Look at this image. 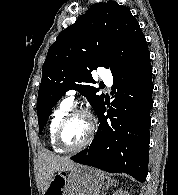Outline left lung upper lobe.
Returning <instances> with one entry per match:
<instances>
[{
	"mask_svg": "<svg viewBox=\"0 0 178 195\" xmlns=\"http://www.w3.org/2000/svg\"><path fill=\"white\" fill-rule=\"evenodd\" d=\"M147 51L145 36L129 8L114 1L92 5L48 50L37 100L39 132L50 110L70 89L81 91L97 114L104 95H96L98 89L90 85L95 83L91 70L103 66L114 77Z\"/></svg>",
	"mask_w": 178,
	"mask_h": 195,
	"instance_id": "left-lung-upper-lobe-1",
	"label": "left lung upper lobe"
}]
</instances>
